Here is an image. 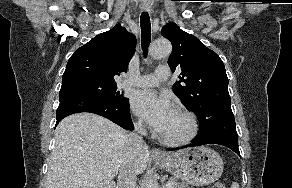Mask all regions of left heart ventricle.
I'll return each mask as SVG.
<instances>
[{
	"label": "left heart ventricle",
	"mask_w": 292,
	"mask_h": 188,
	"mask_svg": "<svg viewBox=\"0 0 292 188\" xmlns=\"http://www.w3.org/2000/svg\"><path fill=\"white\" fill-rule=\"evenodd\" d=\"M189 129L190 124L187 118L176 111L162 135L172 138L180 137L185 135Z\"/></svg>",
	"instance_id": "obj_1"
}]
</instances>
